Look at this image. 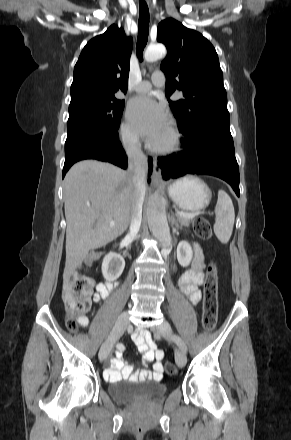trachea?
Returning <instances> with one entry per match:
<instances>
[{
  "label": "trachea",
  "instance_id": "1",
  "mask_svg": "<svg viewBox=\"0 0 291 440\" xmlns=\"http://www.w3.org/2000/svg\"><path fill=\"white\" fill-rule=\"evenodd\" d=\"M139 31H138V39H137V57L140 61H142L143 50L148 41V33H149V9L146 2H140V12H139Z\"/></svg>",
  "mask_w": 291,
  "mask_h": 440
}]
</instances>
